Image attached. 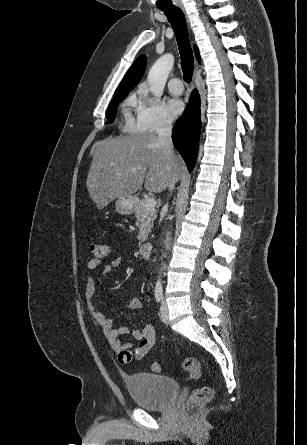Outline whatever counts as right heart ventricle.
Instances as JSON below:
<instances>
[{
	"label": "right heart ventricle",
	"mask_w": 307,
	"mask_h": 445,
	"mask_svg": "<svg viewBox=\"0 0 307 445\" xmlns=\"http://www.w3.org/2000/svg\"><path fill=\"white\" fill-rule=\"evenodd\" d=\"M122 104L123 105L133 106L136 111H138L139 108H140V104H139L138 98H137V96L134 93H131L128 96H126V98H124ZM124 119H125V124H124L123 129L125 131L133 130L135 128V123H134V121L132 119V116L128 112H125Z\"/></svg>",
	"instance_id": "e07e8e85"
}]
</instances>
